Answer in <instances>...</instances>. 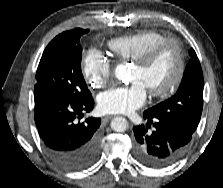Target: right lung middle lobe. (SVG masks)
Masks as SVG:
<instances>
[{
  "mask_svg": "<svg viewBox=\"0 0 223 188\" xmlns=\"http://www.w3.org/2000/svg\"><path fill=\"white\" fill-rule=\"evenodd\" d=\"M87 32L88 29L80 28L65 31L48 44L36 72L35 92L61 95L77 101L92 98L81 72L80 37Z\"/></svg>",
  "mask_w": 223,
  "mask_h": 188,
  "instance_id": "right-lung-middle-lobe-1",
  "label": "right lung middle lobe"
}]
</instances>
